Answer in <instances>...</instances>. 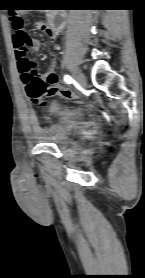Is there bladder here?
Wrapping results in <instances>:
<instances>
[{"label":"bladder","mask_w":145,"mask_h":278,"mask_svg":"<svg viewBox=\"0 0 145 278\" xmlns=\"http://www.w3.org/2000/svg\"><path fill=\"white\" fill-rule=\"evenodd\" d=\"M50 124L42 132L40 139L61 143L69 139L77 126L87 121L84 109L78 106L54 104L49 107Z\"/></svg>","instance_id":"obj_1"}]
</instances>
